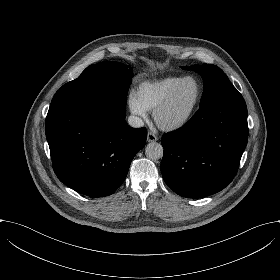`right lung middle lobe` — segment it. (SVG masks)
<instances>
[{"instance_id":"dd1d6c3e","label":"right lung middle lobe","mask_w":280,"mask_h":280,"mask_svg":"<svg viewBox=\"0 0 280 280\" xmlns=\"http://www.w3.org/2000/svg\"><path fill=\"white\" fill-rule=\"evenodd\" d=\"M132 68L114 61L88 66L81 75L57 92H73L97 97L106 103L126 108L127 92L132 79Z\"/></svg>"}]
</instances>
